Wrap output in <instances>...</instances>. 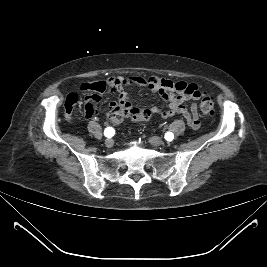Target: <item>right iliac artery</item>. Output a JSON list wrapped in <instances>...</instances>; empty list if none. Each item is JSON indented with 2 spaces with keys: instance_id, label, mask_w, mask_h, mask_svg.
I'll use <instances>...</instances> for the list:
<instances>
[{
  "instance_id": "1",
  "label": "right iliac artery",
  "mask_w": 267,
  "mask_h": 267,
  "mask_svg": "<svg viewBox=\"0 0 267 267\" xmlns=\"http://www.w3.org/2000/svg\"><path fill=\"white\" fill-rule=\"evenodd\" d=\"M115 134V130L111 127H107L104 131V135L108 138L112 137Z\"/></svg>"
}]
</instances>
